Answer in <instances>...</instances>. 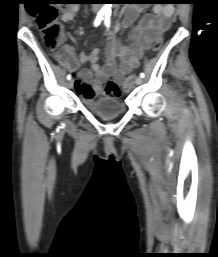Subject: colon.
<instances>
[{
    "label": "colon",
    "instance_id": "obj_1",
    "mask_svg": "<svg viewBox=\"0 0 218 257\" xmlns=\"http://www.w3.org/2000/svg\"><path fill=\"white\" fill-rule=\"evenodd\" d=\"M57 6L56 5H25V10H33L32 15L35 18L36 24L42 31L46 46L51 51H57L58 57L61 59L63 55L58 51L62 41V29L57 22ZM161 47V40H157L153 44V51H158ZM134 76H130L124 83L126 91L131 90L133 86ZM104 89H101L103 98H123V86L118 85L115 79H106L103 84Z\"/></svg>",
    "mask_w": 218,
    "mask_h": 257
}]
</instances>
